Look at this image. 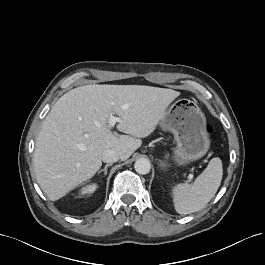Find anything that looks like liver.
Wrapping results in <instances>:
<instances>
[{"label": "liver", "mask_w": 265, "mask_h": 265, "mask_svg": "<svg viewBox=\"0 0 265 265\" xmlns=\"http://www.w3.org/2000/svg\"><path fill=\"white\" fill-rule=\"evenodd\" d=\"M180 92L143 85H84L65 93L43 121L33 154L37 182L51 201L92 178L106 150L127 160L154 132ZM121 118L115 135L108 119Z\"/></svg>", "instance_id": "6515ba94"}]
</instances>
